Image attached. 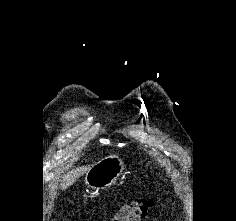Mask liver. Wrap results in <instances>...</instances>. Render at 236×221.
<instances>
[{
  "instance_id": "1",
  "label": "liver",
  "mask_w": 236,
  "mask_h": 221,
  "mask_svg": "<svg viewBox=\"0 0 236 221\" xmlns=\"http://www.w3.org/2000/svg\"><path fill=\"white\" fill-rule=\"evenodd\" d=\"M91 168L90 165L87 166H82V167H78L75 169H72L63 179V187H67L70 186L71 184H73L78 178H80L81 176H83L84 174L87 173V171Z\"/></svg>"
}]
</instances>
